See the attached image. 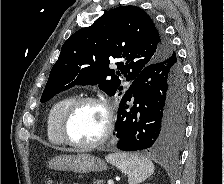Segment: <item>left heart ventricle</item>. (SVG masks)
Returning <instances> with one entry per match:
<instances>
[{
	"instance_id": "1",
	"label": "left heart ventricle",
	"mask_w": 224,
	"mask_h": 184,
	"mask_svg": "<svg viewBox=\"0 0 224 184\" xmlns=\"http://www.w3.org/2000/svg\"><path fill=\"white\" fill-rule=\"evenodd\" d=\"M105 112L94 103H85L77 108L69 123L70 137L78 143H91L104 131Z\"/></svg>"
}]
</instances>
